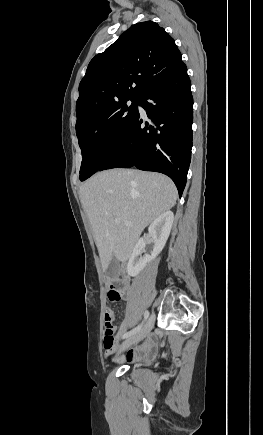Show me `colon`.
<instances>
[{"instance_id": "1", "label": "colon", "mask_w": 263, "mask_h": 435, "mask_svg": "<svg viewBox=\"0 0 263 435\" xmlns=\"http://www.w3.org/2000/svg\"><path fill=\"white\" fill-rule=\"evenodd\" d=\"M108 298L112 302H118L122 299V293L114 282H108ZM115 337H114V327L113 320L108 312L105 313V330H104V350H114L115 348Z\"/></svg>"}]
</instances>
